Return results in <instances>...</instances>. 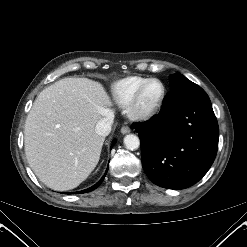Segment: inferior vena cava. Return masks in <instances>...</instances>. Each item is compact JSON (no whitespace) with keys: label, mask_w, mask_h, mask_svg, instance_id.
Instances as JSON below:
<instances>
[{"label":"inferior vena cava","mask_w":247,"mask_h":247,"mask_svg":"<svg viewBox=\"0 0 247 247\" xmlns=\"http://www.w3.org/2000/svg\"><path fill=\"white\" fill-rule=\"evenodd\" d=\"M114 120L113 113L108 114L105 118L99 120L95 127V132L102 137L109 135Z\"/></svg>","instance_id":"inferior-vena-cava-1"}]
</instances>
